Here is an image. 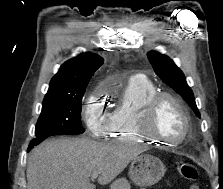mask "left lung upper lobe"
<instances>
[{"label": "left lung upper lobe", "mask_w": 223, "mask_h": 189, "mask_svg": "<svg viewBox=\"0 0 223 189\" xmlns=\"http://www.w3.org/2000/svg\"><path fill=\"white\" fill-rule=\"evenodd\" d=\"M147 56L155 73L160 77V79L181 95L193 109L196 116L200 118L194 94L188 86L183 72L166 55L151 51Z\"/></svg>", "instance_id": "5c2ea615"}]
</instances>
